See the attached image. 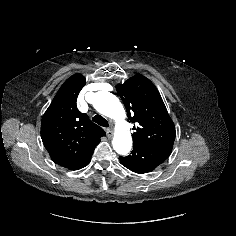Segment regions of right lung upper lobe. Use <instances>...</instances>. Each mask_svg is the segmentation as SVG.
Returning <instances> with one entry per match:
<instances>
[{"instance_id":"1","label":"right lung upper lobe","mask_w":236,"mask_h":236,"mask_svg":"<svg viewBox=\"0 0 236 236\" xmlns=\"http://www.w3.org/2000/svg\"><path fill=\"white\" fill-rule=\"evenodd\" d=\"M85 84L80 74L68 78L41 120L43 144L51 159L63 167L94 150L106 134L77 109V97Z\"/></svg>"}]
</instances>
